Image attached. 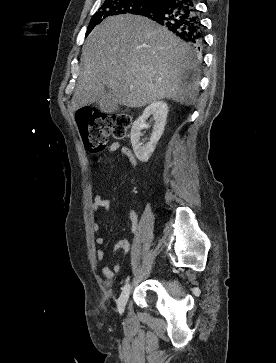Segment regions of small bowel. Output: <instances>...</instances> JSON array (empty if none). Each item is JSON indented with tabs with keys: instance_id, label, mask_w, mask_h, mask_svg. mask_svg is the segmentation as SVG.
<instances>
[{
	"instance_id": "obj_1",
	"label": "small bowel",
	"mask_w": 276,
	"mask_h": 363,
	"mask_svg": "<svg viewBox=\"0 0 276 363\" xmlns=\"http://www.w3.org/2000/svg\"><path fill=\"white\" fill-rule=\"evenodd\" d=\"M116 151L122 153L128 159L129 163L133 167H136L137 160L132 151L128 147L122 146L119 142H113L112 144H110L107 151L96 159L97 164L101 163L107 154ZM98 174H100L99 169H98ZM109 208H110V202L103 197L101 192H98L94 197L93 203L91 204L90 207L91 212L97 213L102 210H108ZM129 221H130V233L133 235L136 233L138 228V216L135 210H132L130 212ZM91 227L94 232H98L100 229L99 224L94 219H92ZM104 242L105 240L101 236H98L95 239V243L97 245H103ZM112 250L113 251L121 250L123 252H129L130 241L126 238L120 239L113 245ZM96 258L99 262L103 263L105 260V252L102 249H98L96 251ZM121 271H122V265L119 263L114 264L112 268L107 265L102 266V273L104 277L107 279V281H112L115 278V276L119 274Z\"/></svg>"
}]
</instances>
